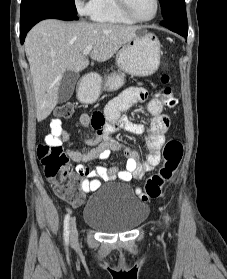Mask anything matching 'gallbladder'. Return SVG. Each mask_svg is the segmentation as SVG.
I'll return each instance as SVG.
<instances>
[{
	"mask_svg": "<svg viewBox=\"0 0 227 279\" xmlns=\"http://www.w3.org/2000/svg\"><path fill=\"white\" fill-rule=\"evenodd\" d=\"M79 79V74L73 71H65L58 90V101L66 102L73 95L75 85Z\"/></svg>",
	"mask_w": 227,
	"mask_h": 279,
	"instance_id": "gallbladder-1",
	"label": "gallbladder"
}]
</instances>
